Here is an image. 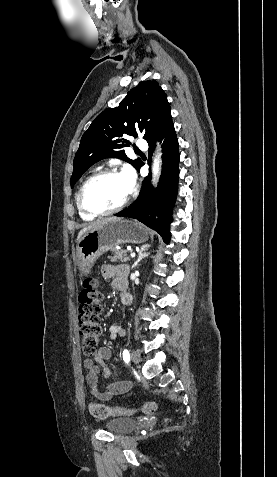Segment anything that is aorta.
I'll use <instances>...</instances> for the list:
<instances>
[{
    "instance_id": "762f6f07",
    "label": "aorta",
    "mask_w": 277,
    "mask_h": 477,
    "mask_svg": "<svg viewBox=\"0 0 277 477\" xmlns=\"http://www.w3.org/2000/svg\"><path fill=\"white\" fill-rule=\"evenodd\" d=\"M160 165H161V159L160 155L156 156L154 159V163L152 166V173H153V182L156 183L159 173H160Z\"/></svg>"
}]
</instances>
